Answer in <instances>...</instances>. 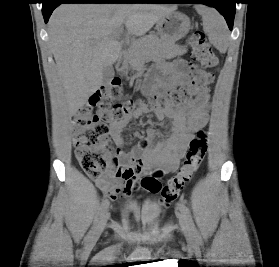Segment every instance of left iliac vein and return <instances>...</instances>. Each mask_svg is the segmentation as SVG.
Segmentation results:
<instances>
[{
	"instance_id": "left-iliac-vein-1",
	"label": "left iliac vein",
	"mask_w": 279,
	"mask_h": 267,
	"mask_svg": "<svg viewBox=\"0 0 279 267\" xmlns=\"http://www.w3.org/2000/svg\"><path fill=\"white\" fill-rule=\"evenodd\" d=\"M179 222H180L181 230L184 233L187 240L192 241L193 240L192 231L190 230L188 223L185 221L182 215L179 216Z\"/></svg>"
}]
</instances>
